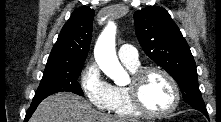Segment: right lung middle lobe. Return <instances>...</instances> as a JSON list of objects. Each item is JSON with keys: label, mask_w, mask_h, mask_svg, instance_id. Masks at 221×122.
Instances as JSON below:
<instances>
[{"label": "right lung middle lobe", "mask_w": 221, "mask_h": 122, "mask_svg": "<svg viewBox=\"0 0 221 122\" xmlns=\"http://www.w3.org/2000/svg\"><path fill=\"white\" fill-rule=\"evenodd\" d=\"M84 63L47 64L32 102L42 101L51 94L73 92L84 95L77 81Z\"/></svg>", "instance_id": "right-lung-middle-lobe-1"}]
</instances>
